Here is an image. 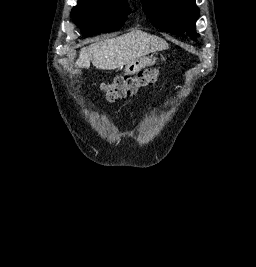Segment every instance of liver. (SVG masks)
Masks as SVG:
<instances>
[{
  "mask_svg": "<svg viewBox=\"0 0 256 267\" xmlns=\"http://www.w3.org/2000/svg\"><path fill=\"white\" fill-rule=\"evenodd\" d=\"M165 40L158 36H150L141 30H132L128 34L96 42L87 48H82L76 62V68H90V62L97 70H116L136 60H142L151 52L168 50Z\"/></svg>",
  "mask_w": 256,
  "mask_h": 267,
  "instance_id": "liver-1",
  "label": "liver"
}]
</instances>
